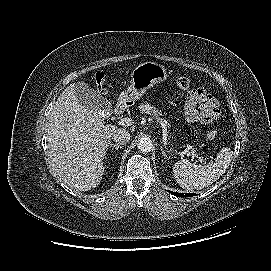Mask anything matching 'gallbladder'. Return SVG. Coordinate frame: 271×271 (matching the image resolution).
I'll list each match as a JSON object with an SVG mask.
<instances>
[{"label": "gallbladder", "mask_w": 271, "mask_h": 271, "mask_svg": "<svg viewBox=\"0 0 271 271\" xmlns=\"http://www.w3.org/2000/svg\"><path fill=\"white\" fill-rule=\"evenodd\" d=\"M75 92L78 101L82 105L100 113L104 117H108L111 114V103L99 92L90 88L84 81H78L75 84Z\"/></svg>", "instance_id": "obj_1"}]
</instances>
